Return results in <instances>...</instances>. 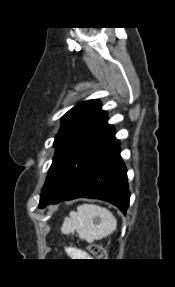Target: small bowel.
Wrapping results in <instances>:
<instances>
[{
	"mask_svg": "<svg viewBox=\"0 0 175 287\" xmlns=\"http://www.w3.org/2000/svg\"><path fill=\"white\" fill-rule=\"evenodd\" d=\"M66 249H67L68 253H70L72 255H75V256H82L83 255V253L76 248L67 247Z\"/></svg>",
	"mask_w": 175,
	"mask_h": 287,
	"instance_id": "1",
	"label": "small bowel"
}]
</instances>
